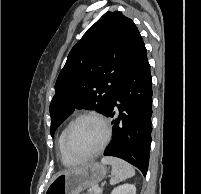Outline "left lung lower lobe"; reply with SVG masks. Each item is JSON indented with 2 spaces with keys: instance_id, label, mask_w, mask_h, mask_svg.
Wrapping results in <instances>:
<instances>
[{
  "instance_id": "left-lung-lower-lobe-1",
  "label": "left lung lower lobe",
  "mask_w": 201,
  "mask_h": 194,
  "mask_svg": "<svg viewBox=\"0 0 201 194\" xmlns=\"http://www.w3.org/2000/svg\"><path fill=\"white\" fill-rule=\"evenodd\" d=\"M152 78L143 44L105 112L112 117L113 139L104 155L119 157L146 175L152 141ZM116 110L119 116H115Z\"/></svg>"
}]
</instances>
